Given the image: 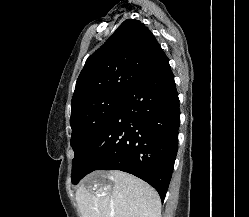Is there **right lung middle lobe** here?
I'll return each instance as SVG.
<instances>
[{
  "label": "right lung middle lobe",
  "instance_id": "1",
  "mask_svg": "<svg viewBox=\"0 0 249 217\" xmlns=\"http://www.w3.org/2000/svg\"><path fill=\"white\" fill-rule=\"evenodd\" d=\"M124 97L123 94H106L83 102L71 109V146L74 150L73 184L79 182L81 175L79 166L88 149L110 121Z\"/></svg>",
  "mask_w": 249,
  "mask_h": 217
}]
</instances>
